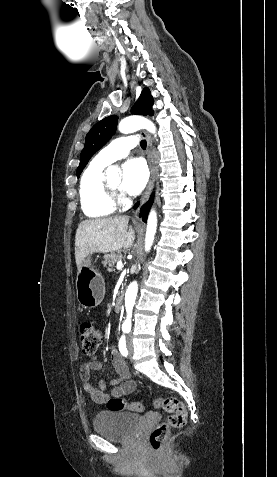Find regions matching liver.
I'll list each match as a JSON object with an SVG mask.
<instances>
[{
	"label": "liver",
	"mask_w": 277,
	"mask_h": 477,
	"mask_svg": "<svg viewBox=\"0 0 277 477\" xmlns=\"http://www.w3.org/2000/svg\"><path fill=\"white\" fill-rule=\"evenodd\" d=\"M127 216L89 219L82 221L75 236V259L78 270L86 257L93 253L114 252L133 245L135 233L128 230Z\"/></svg>",
	"instance_id": "6515ba94"
}]
</instances>
